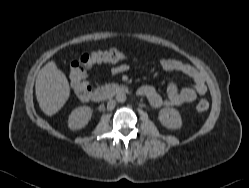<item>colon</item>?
<instances>
[{"mask_svg":"<svg viewBox=\"0 0 249 188\" xmlns=\"http://www.w3.org/2000/svg\"><path fill=\"white\" fill-rule=\"evenodd\" d=\"M126 58V55L115 48L105 51H95L83 54L70 63V82L76 96L79 99L87 100L90 96L91 86L87 81V70L99 63H115ZM209 107L207 100H200L196 109L198 112H205Z\"/></svg>","mask_w":249,"mask_h":188,"instance_id":"5ec220e1","label":"colon"}]
</instances>
